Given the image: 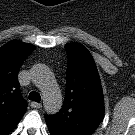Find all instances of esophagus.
Here are the masks:
<instances>
[{"label": "esophagus", "mask_w": 135, "mask_h": 135, "mask_svg": "<svg viewBox=\"0 0 135 135\" xmlns=\"http://www.w3.org/2000/svg\"><path fill=\"white\" fill-rule=\"evenodd\" d=\"M31 106L33 108H41L42 107L41 103H37V102H31Z\"/></svg>", "instance_id": "34e87169"}]
</instances>
